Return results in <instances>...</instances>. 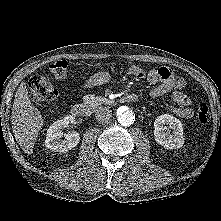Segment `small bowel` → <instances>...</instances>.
Wrapping results in <instances>:
<instances>
[{
    "instance_id": "1",
    "label": "small bowel",
    "mask_w": 221,
    "mask_h": 221,
    "mask_svg": "<svg viewBox=\"0 0 221 221\" xmlns=\"http://www.w3.org/2000/svg\"><path fill=\"white\" fill-rule=\"evenodd\" d=\"M129 73L136 76H146L150 84L155 85L150 94L154 97L171 93L173 105L169 109L175 115L189 119L193 116V110L190 106V99L183 92L186 87V82L183 78L175 76L169 68L162 67L159 69H152L147 73L137 66L129 69ZM111 78L108 71H99L94 73L86 81V88H94L105 84Z\"/></svg>"
}]
</instances>
